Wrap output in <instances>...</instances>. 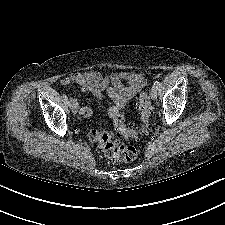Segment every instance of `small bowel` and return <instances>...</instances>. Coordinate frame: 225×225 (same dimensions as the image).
I'll return each mask as SVG.
<instances>
[{
	"mask_svg": "<svg viewBox=\"0 0 225 225\" xmlns=\"http://www.w3.org/2000/svg\"><path fill=\"white\" fill-rule=\"evenodd\" d=\"M61 84L63 86L76 84L97 98H101L106 92L110 99V112L114 108H123L128 101L133 99L144 88L146 80L141 73L129 71L105 73L94 70L70 74L61 80ZM91 113V108L83 107L79 115L81 118H84L89 117Z\"/></svg>",
	"mask_w": 225,
	"mask_h": 225,
	"instance_id": "obj_1",
	"label": "small bowel"
}]
</instances>
